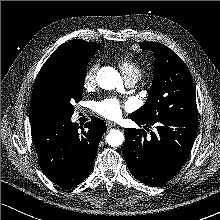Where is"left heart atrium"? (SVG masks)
I'll return each instance as SVG.
<instances>
[{"mask_svg": "<svg viewBox=\"0 0 220 220\" xmlns=\"http://www.w3.org/2000/svg\"><path fill=\"white\" fill-rule=\"evenodd\" d=\"M96 111L105 118L117 119L122 114L123 105L116 98H106L96 103ZM125 108H129L128 104H125Z\"/></svg>", "mask_w": 220, "mask_h": 220, "instance_id": "39dd6f15", "label": "left heart atrium"}]
</instances>
